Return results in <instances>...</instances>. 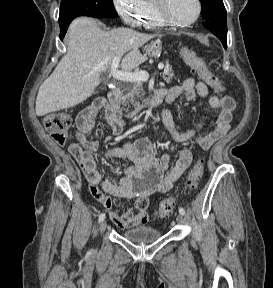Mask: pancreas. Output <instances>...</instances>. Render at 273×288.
<instances>
[{
    "mask_svg": "<svg viewBox=\"0 0 273 288\" xmlns=\"http://www.w3.org/2000/svg\"><path fill=\"white\" fill-rule=\"evenodd\" d=\"M174 78L173 69L171 66H166L163 72V79L166 83H171ZM124 95L122 97V104L131 103L133 107L140 108L139 102H136L137 99H141L144 96L143 92V83L142 82H131L128 83L124 88Z\"/></svg>",
    "mask_w": 273,
    "mask_h": 288,
    "instance_id": "1",
    "label": "pancreas"
}]
</instances>
